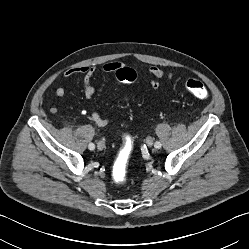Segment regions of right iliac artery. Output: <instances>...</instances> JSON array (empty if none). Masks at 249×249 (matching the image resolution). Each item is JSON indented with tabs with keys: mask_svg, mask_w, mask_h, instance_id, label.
I'll return each mask as SVG.
<instances>
[{
	"mask_svg": "<svg viewBox=\"0 0 249 249\" xmlns=\"http://www.w3.org/2000/svg\"><path fill=\"white\" fill-rule=\"evenodd\" d=\"M88 148H89L90 150H94V149H95V145H94L93 143H90V144L88 145Z\"/></svg>",
	"mask_w": 249,
	"mask_h": 249,
	"instance_id": "1",
	"label": "right iliac artery"
}]
</instances>
